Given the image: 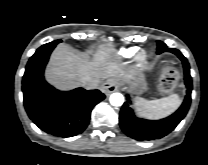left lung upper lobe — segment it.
I'll use <instances>...</instances> for the list:
<instances>
[{
    "label": "left lung upper lobe",
    "mask_w": 208,
    "mask_h": 165,
    "mask_svg": "<svg viewBox=\"0 0 208 165\" xmlns=\"http://www.w3.org/2000/svg\"><path fill=\"white\" fill-rule=\"evenodd\" d=\"M157 44H158V48H157L158 54H160L161 52H163L167 48L166 45L161 41H157Z\"/></svg>",
    "instance_id": "5c2ea615"
}]
</instances>
